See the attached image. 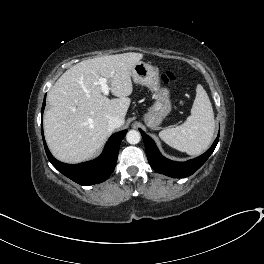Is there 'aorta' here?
<instances>
[{"label":"aorta","mask_w":264,"mask_h":264,"mask_svg":"<svg viewBox=\"0 0 264 264\" xmlns=\"http://www.w3.org/2000/svg\"><path fill=\"white\" fill-rule=\"evenodd\" d=\"M140 139H141V135L136 130H130L126 135V140L129 144H137L139 143Z\"/></svg>","instance_id":"1"}]
</instances>
